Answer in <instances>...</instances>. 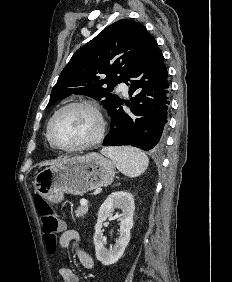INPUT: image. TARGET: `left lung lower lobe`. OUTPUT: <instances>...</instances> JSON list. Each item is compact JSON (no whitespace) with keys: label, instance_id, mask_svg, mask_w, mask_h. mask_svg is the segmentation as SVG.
<instances>
[{"label":"left lung lower lobe","instance_id":"1","mask_svg":"<svg viewBox=\"0 0 232 282\" xmlns=\"http://www.w3.org/2000/svg\"><path fill=\"white\" fill-rule=\"evenodd\" d=\"M130 82L125 113L120 100L109 112L111 128L103 145H132L145 151L159 150L165 143V127L169 109L168 72L155 39L151 40L140 62L124 80Z\"/></svg>","mask_w":232,"mask_h":282}]
</instances>
